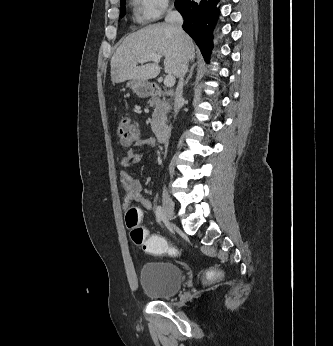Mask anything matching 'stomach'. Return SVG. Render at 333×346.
<instances>
[{"label":"stomach","instance_id":"0dacf381","mask_svg":"<svg viewBox=\"0 0 333 346\" xmlns=\"http://www.w3.org/2000/svg\"><path fill=\"white\" fill-rule=\"evenodd\" d=\"M127 86L140 98H146L151 94L152 85L148 81L130 80Z\"/></svg>","mask_w":333,"mask_h":346}]
</instances>
